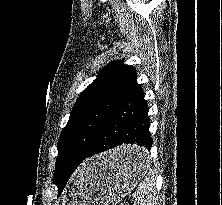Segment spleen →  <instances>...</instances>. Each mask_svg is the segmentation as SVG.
I'll return each instance as SVG.
<instances>
[{"instance_id":"spleen-1","label":"spleen","mask_w":222,"mask_h":205,"mask_svg":"<svg viewBox=\"0 0 222 205\" xmlns=\"http://www.w3.org/2000/svg\"><path fill=\"white\" fill-rule=\"evenodd\" d=\"M155 181L156 177L153 171L150 169L145 177V180L139 184L136 192L133 194L134 205H158Z\"/></svg>"}]
</instances>
